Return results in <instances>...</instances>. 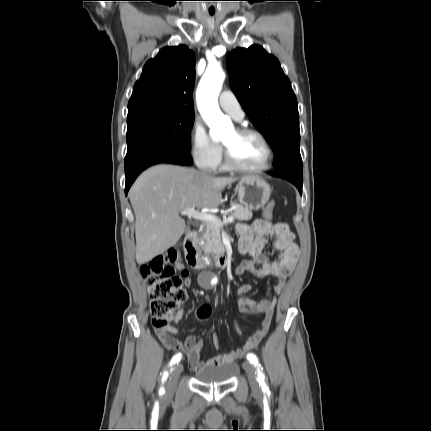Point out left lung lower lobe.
Masks as SVG:
<instances>
[{
  "label": "left lung lower lobe",
  "instance_id": "obj_1",
  "mask_svg": "<svg viewBox=\"0 0 431 431\" xmlns=\"http://www.w3.org/2000/svg\"><path fill=\"white\" fill-rule=\"evenodd\" d=\"M270 175L275 177L284 178L291 183H293L302 194V184H303V171H296L293 169H285L282 171H271L268 172Z\"/></svg>",
  "mask_w": 431,
  "mask_h": 431
}]
</instances>
